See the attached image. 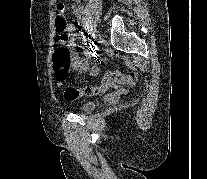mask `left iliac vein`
Masks as SVG:
<instances>
[{"instance_id":"1","label":"left iliac vein","mask_w":207,"mask_h":179,"mask_svg":"<svg viewBox=\"0 0 207 179\" xmlns=\"http://www.w3.org/2000/svg\"><path fill=\"white\" fill-rule=\"evenodd\" d=\"M105 45V40L100 37V40H99V45H98V51H97V57H101V50L103 49V46Z\"/></svg>"}]
</instances>
